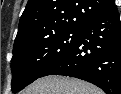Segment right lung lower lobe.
Listing matches in <instances>:
<instances>
[{"instance_id":"right-lung-lower-lobe-1","label":"right lung lower lobe","mask_w":121,"mask_h":94,"mask_svg":"<svg viewBox=\"0 0 121 94\" xmlns=\"http://www.w3.org/2000/svg\"><path fill=\"white\" fill-rule=\"evenodd\" d=\"M47 75L79 78L106 94H121V22L116 5L80 26L74 47L41 77Z\"/></svg>"}]
</instances>
